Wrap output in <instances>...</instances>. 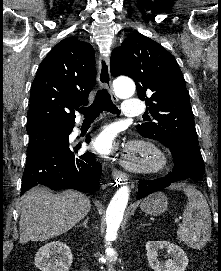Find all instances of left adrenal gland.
<instances>
[{
  "instance_id": "obj_1",
  "label": "left adrenal gland",
  "mask_w": 221,
  "mask_h": 271,
  "mask_svg": "<svg viewBox=\"0 0 221 271\" xmlns=\"http://www.w3.org/2000/svg\"><path fill=\"white\" fill-rule=\"evenodd\" d=\"M140 225H149V223H142V221H140Z\"/></svg>"
}]
</instances>
